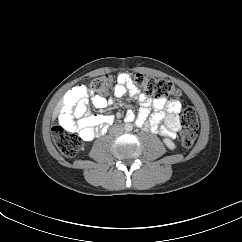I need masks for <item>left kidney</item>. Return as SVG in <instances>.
I'll use <instances>...</instances> for the list:
<instances>
[{
    "mask_svg": "<svg viewBox=\"0 0 242 242\" xmlns=\"http://www.w3.org/2000/svg\"><path fill=\"white\" fill-rule=\"evenodd\" d=\"M164 143L171 150H174L176 148L175 143L173 141H171L170 139H168V138L164 139Z\"/></svg>",
    "mask_w": 242,
    "mask_h": 242,
    "instance_id": "obj_1",
    "label": "left kidney"
}]
</instances>
